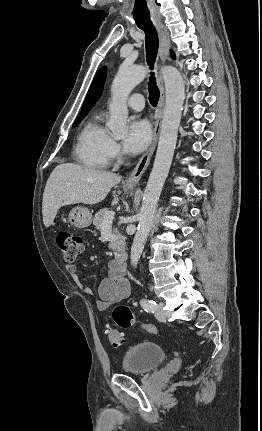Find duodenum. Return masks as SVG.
Segmentation results:
<instances>
[{
    "label": "duodenum",
    "mask_w": 262,
    "mask_h": 431,
    "mask_svg": "<svg viewBox=\"0 0 262 431\" xmlns=\"http://www.w3.org/2000/svg\"><path fill=\"white\" fill-rule=\"evenodd\" d=\"M118 259H119V261H121L122 263L126 264L127 259H128V254H127L126 252H124V251H123V252L119 253Z\"/></svg>",
    "instance_id": "410a0bca"
}]
</instances>
